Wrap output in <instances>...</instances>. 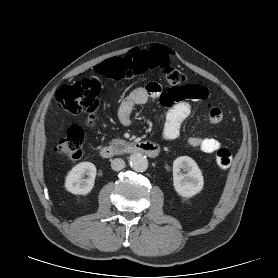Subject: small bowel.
Returning <instances> with one entry per match:
<instances>
[{
	"mask_svg": "<svg viewBox=\"0 0 278 278\" xmlns=\"http://www.w3.org/2000/svg\"><path fill=\"white\" fill-rule=\"evenodd\" d=\"M203 88L204 99H206L208 90L205 87ZM155 99L170 107L163 128V137L166 140H174L179 136L183 122L190 115L192 105L187 99L175 100L173 94L170 91H164L157 82H150L145 87H139L130 92L119 106L118 118L123 125H130L134 107L144 105ZM222 116L220 108L213 106L207 113V120L211 123H218L222 120ZM187 143L205 153H213L221 145L219 140L214 137L200 136L189 137Z\"/></svg>",
	"mask_w": 278,
	"mask_h": 278,
	"instance_id": "c3829d8e",
	"label": "small bowel"
}]
</instances>
